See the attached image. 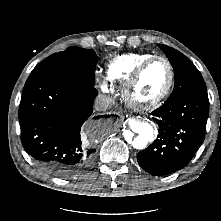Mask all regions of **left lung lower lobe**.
<instances>
[{
    "label": "left lung lower lobe",
    "mask_w": 221,
    "mask_h": 221,
    "mask_svg": "<svg viewBox=\"0 0 221 221\" xmlns=\"http://www.w3.org/2000/svg\"><path fill=\"white\" fill-rule=\"evenodd\" d=\"M209 114L207 91H194L152 112L157 139L137 154L139 165L152 175H167L185 167L201 146Z\"/></svg>",
    "instance_id": "1"
}]
</instances>
